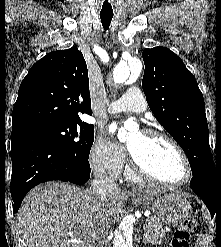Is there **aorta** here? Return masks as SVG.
<instances>
[{"mask_svg": "<svg viewBox=\"0 0 221 247\" xmlns=\"http://www.w3.org/2000/svg\"><path fill=\"white\" fill-rule=\"evenodd\" d=\"M142 69L141 62L132 58L130 61L120 62L113 70V81L114 83H123L128 80L129 77L136 79L140 74ZM137 125L132 120H127L124 123V127L118 131V139L120 141H125L128 136V130L136 128ZM113 247H132L129 239L124 235L121 230L115 232Z\"/></svg>", "mask_w": 221, "mask_h": 247, "instance_id": "aorta-1", "label": "aorta"}]
</instances>
